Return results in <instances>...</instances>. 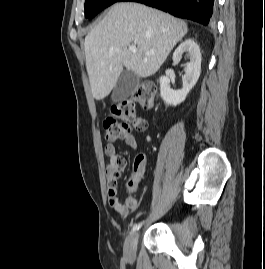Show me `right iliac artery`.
<instances>
[{
	"label": "right iliac artery",
	"mask_w": 265,
	"mask_h": 269,
	"mask_svg": "<svg viewBox=\"0 0 265 269\" xmlns=\"http://www.w3.org/2000/svg\"><path fill=\"white\" fill-rule=\"evenodd\" d=\"M143 222H140L138 224H135L132 228V232H135L136 230H139V228L142 226Z\"/></svg>",
	"instance_id": "1"
}]
</instances>
